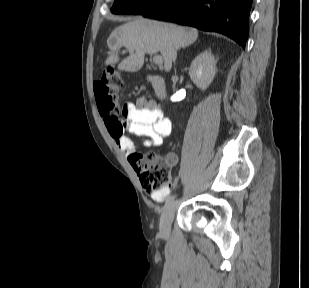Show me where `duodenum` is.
I'll use <instances>...</instances> for the list:
<instances>
[{
	"mask_svg": "<svg viewBox=\"0 0 309 288\" xmlns=\"http://www.w3.org/2000/svg\"><path fill=\"white\" fill-rule=\"evenodd\" d=\"M149 80L155 91V94L160 99H163L166 96V86L163 78L159 75H151Z\"/></svg>",
	"mask_w": 309,
	"mask_h": 288,
	"instance_id": "410a0bca",
	"label": "duodenum"
}]
</instances>
